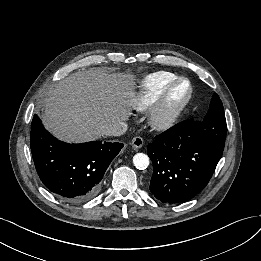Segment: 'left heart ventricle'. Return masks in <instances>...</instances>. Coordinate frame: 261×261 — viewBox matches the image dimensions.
I'll use <instances>...</instances> for the list:
<instances>
[{
  "mask_svg": "<svg viewBox=\"0 0 261 261\" xmlns=\"http://www.w3.org/2000/svg\"><path fill=\"white\" fill-rule=\"evenodd\" d=\"M188 90V85L186 82H181L176 89L174 90L172 97H171V103L173 105L179 103L186 95Z\"/></svg>",
  "mask_w": 261,
  "mask_h": 261,
  "instance_id": "obj_1",
  "label": "left heart ventricle"
}]
</instances>
